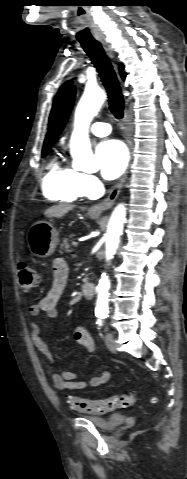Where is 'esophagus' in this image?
<instances>
[{
  "mask_svg": "<svg viewBox=\"0 0 187 479\" xmlns=\"http://www.w3.org/2000/svg\"><path fill=\"white\" fill-rule=\"evenodd\" d=\"M100 42L103 45V47L106 50L109 57L111 59H113L114 58V53H113V49H112L111 45L109 43H107L104 39H101ZM125 134H126V141H127V144H128L129 153H130V160H131V153H132L131 127H130V117L127 113L125 115ZM127 174H128V168L126 169V171H125L124 175L122 176V178L120 179V181L112 187L108 197L106 199H104L102 202H100L98 204H95V205H93L89 208L90 213L99 215L102 212L110 209L113 206L115 200L117 199V197L120 194V191H121V189L124 185V182L127 178Z\"/></svg>",
  "mask_w": 187,
  "mask_h": 479,
  "instance_id": "esophagus-1",
  "label": "esophagus"
}]
</instances>
